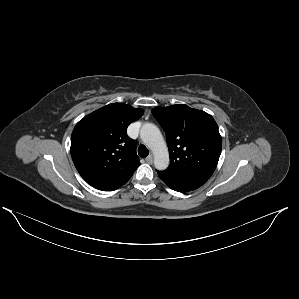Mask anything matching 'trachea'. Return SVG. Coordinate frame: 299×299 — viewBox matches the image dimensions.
Instances as JSON below:
<instances>
[{"mask_svg": "<svg viewBox=\"0 0 299 299\" xmlns=\"http://www.w3.org/2000/svg\"><path fill=\"white\" fill-rule=\"evenodd\" d=\"M138 154H139V156L145 158L148 156L149 151L144 145H140L138 148Z\"/></svg>", "mask_w": 299, "mask_h": 299, "instance_id": "3493384b", "label": "trachea"}]
</instances>
